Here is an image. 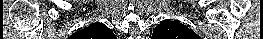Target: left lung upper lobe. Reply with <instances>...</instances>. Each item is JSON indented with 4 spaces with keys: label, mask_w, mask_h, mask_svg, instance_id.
I'll return each mask as SVG.
<instances>
[{
    "label": "left lung upper lobe",
    "mask_w": 263,
    "mask_h": 39,
    "mask_svg": "<svg viewBox=\"0 0 263 39\" xmlns=\"http://www.w3.org/2000/svg\"><path fill=\"white\" fill-rule=\"evenodd\" d=\"M153 39H200L191 29L184 24L163 20L155 29L152 35Z\"/></svg>",
    "instance_id": "1"
}]
</instances>
